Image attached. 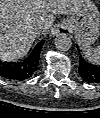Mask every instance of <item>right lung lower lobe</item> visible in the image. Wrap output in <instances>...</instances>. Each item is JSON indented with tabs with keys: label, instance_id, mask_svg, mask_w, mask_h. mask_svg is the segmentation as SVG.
I'll return each mask as SVG.
<instances>
[{
	"label": "right lung lower lobe",
	"instance_id": "right-lung-lower-lobe-1",
	"mask_svg": "<svg viewBox=\"0 0 100 118\" xmlns=\"http://www.w3.org/2000/svg\"><path fill=\"white\" fill-rule=\"evenodd\" d=\"M44 40L40 41L31 54L20 62L13 63H1L0 64V75L7 79L12 80H25L33 76L37 69L40 58V52L43 46Z\"/></svg>",
	"mask_w": 100,
	"mask_h": 118
}]
</instances>
